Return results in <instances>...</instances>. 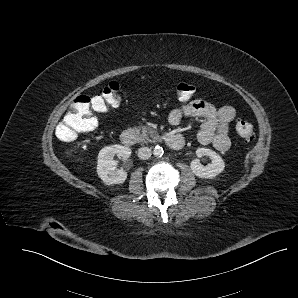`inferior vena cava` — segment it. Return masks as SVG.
I'll list each match as a JSON object with an SVG mask.
<instances>
[{
	"mask_svg": "<svg viewBox=\"0 0 298 298\" xmlns=\"http://www.w3.org/2000/svg\"><path fill=\"white\" fill-rule=\"evenodd\" d=\"M152 155V151L148 147H142L138 150V158L142 160L149 159Z\"/></svg>",
	"mask_w": 298,
	"mask_h": 298,
	"instance_id": "inferior-vena-cava-1",
	"label": "inferior vena cava"
}]
</instances>
